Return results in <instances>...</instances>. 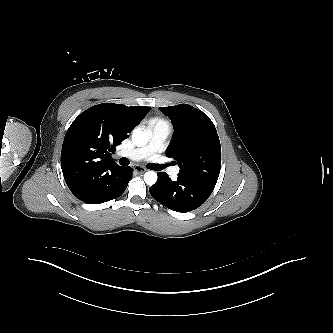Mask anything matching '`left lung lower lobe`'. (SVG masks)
I'll return each instance as SVG.
<instances>
[{"instance_id":"left-lung-lower-lobe-1","label":"left lung lower lobe","mask_w":333,"mask_h":333,"mask_svg":"<svg viewBox=\"0 0 333 333\" xmlns=\"http://www.w3.org/2000/svg\"><path fill=\"white\" fill-rule=\"evenodd\" d=\"M215 185L216 183L180 175L173 181L165 172H159L157 182L149 191L165 207L185 213L200 207L209 198Z\"/></svg>"}]
</instances>
